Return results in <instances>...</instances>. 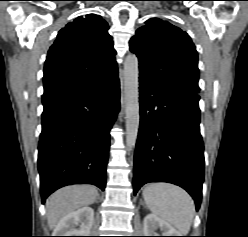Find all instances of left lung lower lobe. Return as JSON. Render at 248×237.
Returning <instances> with one entry per match:
<instances>
[{"label":"left lung lower lobe","mask_w":248,"mask_h":237,"mask_svg":"<svg viewBox=\"0 0 248 237\" xmlns=\"http://www.w3.org/2000/svg\"><path fill=\"white\" fill-rule=\"evenodd\" d=\"M199 96L164 90L140 78V128L134 155V194L148 182L184 188L199 209L204 179Z\"/></svg>","instance_id":"1"}]
</instances>
